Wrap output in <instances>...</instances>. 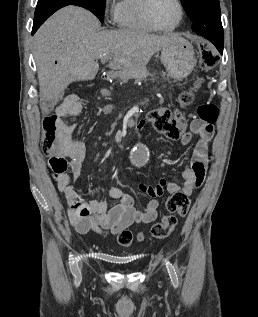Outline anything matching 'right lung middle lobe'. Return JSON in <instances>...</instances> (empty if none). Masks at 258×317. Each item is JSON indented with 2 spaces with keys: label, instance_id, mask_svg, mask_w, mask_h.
<instances>
[{
  "label": "right lung middle lobe",
  "instance_id": "1",
  "mask_svg": "<svg viewBox=\"0 0 258 317\" xmlns=\"http://www.w3.org/2000/svg\"><path fill=\"white\" fill-rule=\"evenodd\" d=\"M91 12L101 21L104 22V11L106 0H89Z\"/></svg>",
  "mask_w": 258,
  "mask_h": 317
}]
</instances>
